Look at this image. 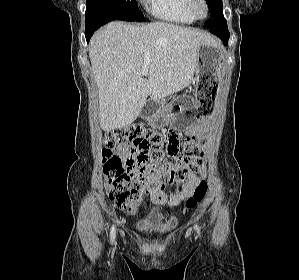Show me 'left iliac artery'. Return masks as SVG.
I'll list each match as a JSON object with an SVG mask.
<instances>
[{
	"label": "left iliac artery",
	"instance_id": "1",
	"mask_svg": "<svg viewBox=\"0 0 299 280\" xmlns=\"http://www.w3.org/2000/svg\"><path fill=\"white\" fill-rule=\"evenodd\" d=\"M195 229H196L197 233L200 235V229L197 224L195 225Z\"/></svg>",
	"mask_w": 299,
	"mask_h": 280
}]
</instances>
